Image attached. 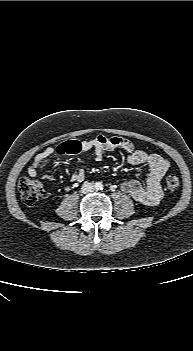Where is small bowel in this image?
<instances>
[{
  "mask_svg": "<svg viewBox=\"0 0 193 351\" xmlns=\"http://www.w3.org/2000/svg\"><path fill=\"white\" fill-rule=\"evenodd\" d=\"M115 150L127 152V159L131 165H146L149 169L144 184L136 179L128 180L121 183V191L139 203L147 206L156 205L163 197L161 181L168 171L170 163L158 154L136 149L133 142L125 137L98 135L82 141L67 140L65 143H58L55 149L47 147L36 155L34 161L28 167V174L31 177H36L40 161L52 156L54 152L58 156H66L67 154L84 155L87 151H93L94 159L100 161L105 152ZM84 178L85 172L82 167L72 170L70 179L73 183H80ZM48 179L54 180L51 175L48 176Z\"/></svg>",
  "mask_w": 193,
  "mask_h": 351,
  "instance_id": "obj_1",
  "label": "small bowel"
}]
</instances>
